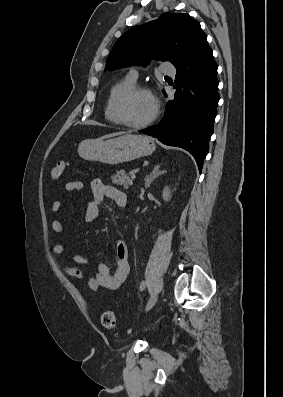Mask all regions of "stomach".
Instances as JSON below:
<instances>
[{
    "mask_svg": "<svg viewBox=\"0 0 283 397\" xmlns=\"http://www.w3.org/2000/svg\"><path fill=\"white\" fill-rule=\"evenodd\" d=\"M155 148V143L148 136L125 134L108 140H84L79 145L78 154L84 160L114 165L148 156Z\"/></svg>",
    "mask_w": 283,
    "mask_h": 397,
    "instance_id": "0dacf381",
    "label": "stomach"
}]
</instances>
